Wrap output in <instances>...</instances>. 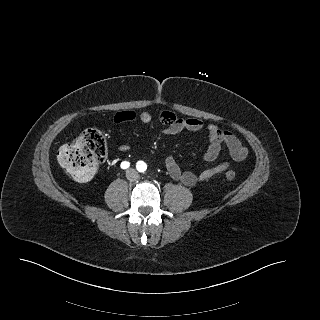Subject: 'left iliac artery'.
I'll return each instance as SVG.
<instances>
[{"label": "left iliac artery", "mask_w": 320, "mask_h": 320, "mask_svg": "<svg viewBox=\"0 0 320 320\" xmlns=\"http://www.w3.org/2000/svg\"><path fill=\"white\" fill-rule=\"evenodd\" d=\"M136 167H137V170L140 172H144L147 169V165L143 161H138Z\"/></svg>", "instance_id": "1"}]
</instances>
